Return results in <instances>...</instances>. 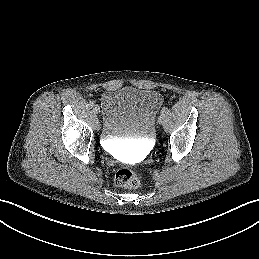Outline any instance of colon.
Returning a JSON list of instances; mask_svg holds the SVG:
<instances>
[{"mask_svg":"<svg viewBox=\"0 0 259 259\" xmlns=\"http://www.w3.org/2000/svg\"><path fill=\"white\" fill-rule=\"evenodd\" d=\"M116 186L122 188H136L141 184V178L137 172L129 168H120L114 176Z\"/></svg>","mask_w":259,"mask_h":259,"instance_id":"1","label":"colon"}]
</instances>
